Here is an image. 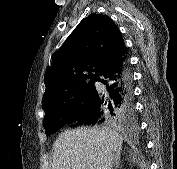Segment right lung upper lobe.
Listing matches in <instances>:
<instances>
[{
    "label": "right lung upper lobe",
    "mask_w": 177,
    "mask_h": 169,
    "mask_svg": "<svg viewBox=\"0 0 177 169\" xmlns=\"http://www.w3.org/2000/svg\"><path fill=\"white\" fill-rule=\"evenodd\" d=\"M123 58H127V47L116 24L106 15L90 14L53 54L44 76L42 106L94 82L106 67Z\"/></svg>",
    "instance_id": "right-lung-upper-lobe-1"
}]
</instances>
